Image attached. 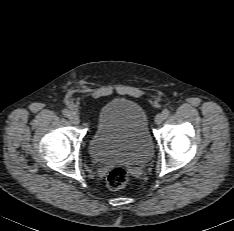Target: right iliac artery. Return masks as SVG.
<instances>
[{
  "label": "right iliac artery",
  "mask_w": 234,
  "mask_h": 231,
  "mask_svg": "<svg viewBox=\"0 0 234 231\" xmlns=\"http://www.w3.org/2000/svg\"><path fill=\"white\" fill-rule=\"evenodd\" d=\"M62 114H63L65 117H69V116H70V111L67 110V109H64V110L62 111Z\"/></svg>",
  "instance_id": "right-iliac-artery-1"
}]
</instances>
